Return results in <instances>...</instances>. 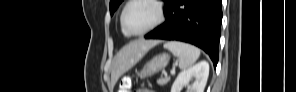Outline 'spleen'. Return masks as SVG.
<instances>
[{"mask_svg": "<svg viewBox=\"0 0 296 92\" xmlns=\"http://www.w3.org/2000/svg\"><path fill=\"white\" fill-rule=\"evenodd\" d=\"M164 48L178 57L180 69L191 67L200 56V50L197 47L183 42L169 41L164 44Z\"/></svg>", "mask_w": 296, "mask_h": 92, "instance_id": "1", "label": "spleen"}]
</instances>
